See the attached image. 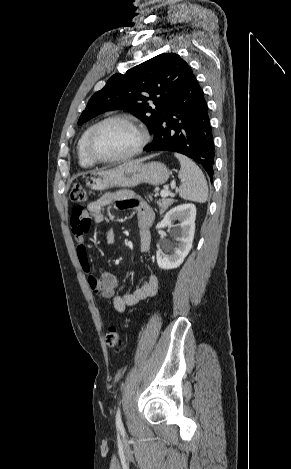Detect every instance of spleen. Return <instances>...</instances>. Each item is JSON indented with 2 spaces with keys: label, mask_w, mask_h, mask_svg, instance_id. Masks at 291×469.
I'll list each match as a JSON object with an SVG mask.
<instances>
[{
  "label": "spleen",
  "mask_w": 291,
  "mask_h": 469,
  "mask_svg": "<svg viewBox=\"0 0 291 469\" xmlns=\"http://www.w3.org/2000/svg\"><path fill=\"white\" fill-rule=\"evenodd\" d=\"M175 157L180 161V171L178 174L181 180L179 186V196L183 199L204 203L208 199V186L203 172L188 157L175 153Z\"/></svg>",
  "instance_id": "spleen-1"
}]
</instances>
